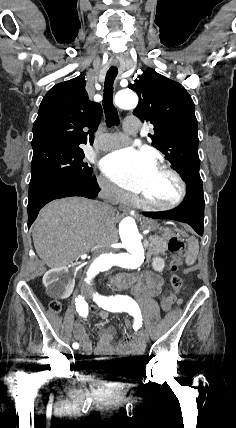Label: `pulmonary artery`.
<instances>
[{
  "label": "pulmonary artery",
  "instance_id": "obj_1",
  "mask_svg": "<svg viewBox=\"0 0 236 428\" xmlns=\"http://www.w3.org/2000/svg\"><path fill=\"white\" fill-rule=\"evenodd\" d=\"M114 135L115 136H119L121 138V140L126 139V135L123 132L115 133ZM121 146H123V145H117V144H114V143H106V144H104L102 146V149L103 150H112V149H115V148H119Z\"/></svg>",
  "mask_w": 236,
  "mask_h": 428
}]
</instances>
